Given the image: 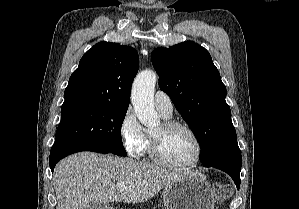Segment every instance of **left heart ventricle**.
<instances>
[{
    "label": "left heart ventricle",
    "instance_id": "left-heart-ventricle-1",
    "mask_svg": "<svg viewBox=\"0 0 299 209\" xmlns=\"http://www.w3.org/2000/svg\"><path fill=\"white\" fill-rule=\"evenodd\" d=\"M151 134L161 140L162 152L169 161L186 164L195 158L196 143L186 131L178 129L166 132L161 124Z\"/></svg>",
    "mask_w": 299,
    "mask_h": 209
}]
</instances>
